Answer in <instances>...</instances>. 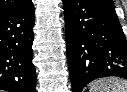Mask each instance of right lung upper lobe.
Returning a JSON list of instances; mask_svg holds the SVG:
<instances>
[{"instance_id": "obj_1", "label": "right lung upper lobe", "mask_w": 127, "mask_h": 92, "mask_svg": "<svg viewBox=\"0 0 127 92\" xmlns=\"http://www.w3.org/2000/svg\"><path fill=\"white\" fill-rule=\"evenodd\" d=\"M32 3L31 0H0V13L13 9L24 8Z\"/></svg>"}]
</instances>
